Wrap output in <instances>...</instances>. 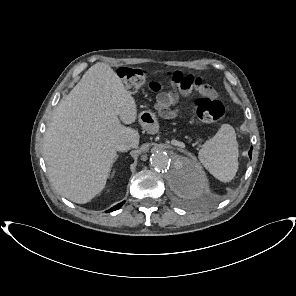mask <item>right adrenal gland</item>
Masks as SVG:
<instances>
[{
  "instance_id": "1",
  "label": "right adrenal gland",
  "mask_w": 296,
  "mask_h": 296,
  "mask_svg": "<svg viewBox=\"0 0 296 296\" xmlns=\"http://www.w3.org/2000/svg\"><path fill=\"white\" fill-rule=\"evenodd\" d=\"M119 157V155H116L115 160H117V158ZM114 173V172H113Z\"/></svg>"
}]
</instances>
